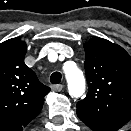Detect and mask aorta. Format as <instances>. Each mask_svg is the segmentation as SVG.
<instances>
[{
  "mask_svg": "<svg viewBox=\"0 0 131 131\" xmlns=\"http://www.w3.org/2000/svg\"><path fill=\"white\" fill-rule=\"evenodd\" d=\"M65 76L68 83L69 94L73 97H79L85 90V79L83 73L75 65H65Z\"/></svg>",
  "mask_w": 131,
  "mask_h": 131,
  "instance_id": "1",
  "label": "aorta"
}]
</instances>
